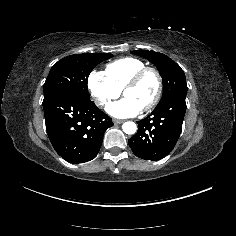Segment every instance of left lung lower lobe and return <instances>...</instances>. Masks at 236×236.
Masks as SVG:
<instances>
[{
  "label": "left lung lower lobe",
  "mask_w": 236,
  "mask_h": 236,
  "mask_svg": "<svg viewBox=\"0 0 236 236\" xmlns=\"http://www.w3.org/2000/svg\"><path fill=\"white\" fill-rule=\"evenodd\" d=\"M186 94H177L158 104L146 118L138 121L137 133L128 140L133 153L144 160L156 161L175 147L186 112Z\"/></svg>",
  "instance_id": "1"
}]
</instances>
